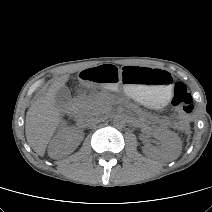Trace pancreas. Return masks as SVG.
<instances>
[{
  "instance_id": "obj_1",
  "label": "pancreas",
  "mask_w": 212,
  "mask_h": 212,
  "mask_svg": "<svg viewBox=\"0 0 212 212\" xmlns=\"http://www.w3.org/2000/svg\"><path fill=\"white\" fill-rule=\"evenodd\" d=\"M76 101L83 111L105 109L108 106V103L99 95L79 96Z\"/></svg>"
}]
</instances>
